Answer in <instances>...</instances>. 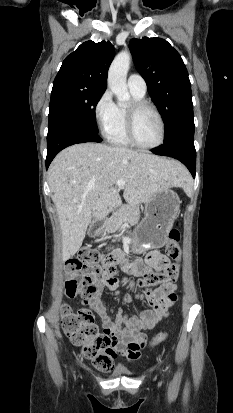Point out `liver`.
<instances>
[{
	"mask_svg": "<svg viewBox=\"0 0 233 413\" xmlns=\"http://www.w3.org/2000/svg\"><path fill=\"white\" fill-rule=\"evenodd\" d=\"M185 167L174 160L124 147L81 143L62 150L48 170L51 198L62 232V258L80 249L92 217L102 220L121 205L117 180H124L123 197L137 206L155 193L183 186Z\"/></svg>",
	"mask_w": 233,
	"mask_h": 413,
	"instance_id": "1",
	"label": "liver"
}]
</instances>
